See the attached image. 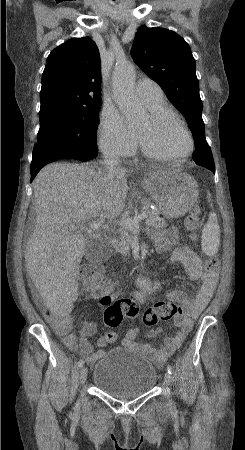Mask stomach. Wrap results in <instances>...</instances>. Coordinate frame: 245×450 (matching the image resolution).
I'll list each match as a JSON object with an SVG mask.
<instances>
[{"mask_svg":"<svg viewBox=\"0 0 245 450\" xmlns=\"http://www.w3.org/2000/svg\"><path fill=\"white\" fill-rule=\"evenodd\" d=\"M144 188L155 200L159 212L173 219L184 216L198 199L196 180L189 174L174 169H159L144 181Z\"/></svg>","mask_w":245,"mask_h":450,"instance_id":"0dacf381","label":"stomach"}]
</instances>
